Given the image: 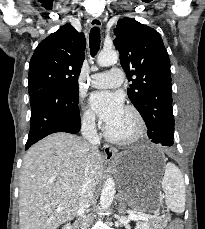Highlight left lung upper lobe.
Returning <instances> with one entry per match:
<instances>
[{
    "label": "left lung upper lobe",
    "instance_id": "5c2ea615",
    "mask_svg": "<svg viewBox=\"0 0 205 229\" xmlns=\"http://www.w3.org/2000/svg\"><path fill=\"white\" fill-rule=\"evenodd\" d=\"M114 34L113 43L120 53L121 66L132 81L128 97L144 119L147 134L151 135L149 138L156 142L152 132L160 129L159 143L172 146L174 116L170 60L160 34L128 17L118 21Z\"/></svg>",
    "mask_w": 205,
    "mask_h": 229
}]
</instances>
